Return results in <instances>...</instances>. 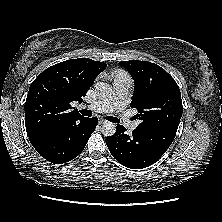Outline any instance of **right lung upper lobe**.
Wrapping results in <instances>:
<instances>
[{
	"instance_id": "cb5924a9",
	"label": "right lung upper lobe",
	"mask_w": 222,
	"mask_h": 222,
	"mask_svg": "<svg viewBox=\"0 0 222 222\" xmlns=\"http://www.w3.org/2000/svg\"><path fill=\"white\" fill-rule=\"evenodd\" d=\"M106 64L78 58L55 64L32 82L25 102V125L29 138L47 129L83 118L71 102H81Z\"/></svg>"
}]
</instances>
